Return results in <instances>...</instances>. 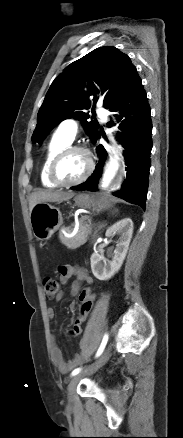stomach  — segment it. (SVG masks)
I'll return each mask as SVG.
<instances>
[{
	"label": "stomach",
	"mask_w": 183,
	"mask_h": 438,
	"mask_svg": "<svg viewBox=\"0 0 183 438\" xmlns=\"http://www.w3.org/2000/svg\"><path fill=\"white\" fill-rule=\"evenodd\" d=\"M74 201L78 207L87 208L92 204L93 198L88 194H79L75 196ZM30 224L34 236L40 241H46L63 224V218L59 208L47 202H41L31 210Z\"/></svg>",
	"instance_id": "obj_1"
}]
</instances>
